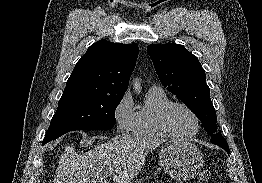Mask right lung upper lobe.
I'll return each instance as SVG.
<instances>
[{"mask_svg":"<svg viewBox=\"0 0 262 183\" xmlns=\"http://www.w3.org/2000/svg\"><path fill=\"white\" fill-rule=\"evenodd\" d=\"M139 48L134 44L100 40L77 62L64 93L89 92L124 96Z\"/></svg>","mask_w":262,"mask_h":183,"instance_id":"obj_1","label":"right lung upper lobe"}]
</instances>
